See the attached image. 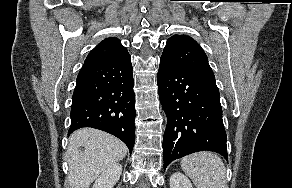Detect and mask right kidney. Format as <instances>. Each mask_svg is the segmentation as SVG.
<instances>
[{
  "mask_svg": "<svg viewBox=\"0 0 292 188\" xmlns=\"http://www.w3.org/2000/svg\"><path fill=\"white\" fill-rule=\"evenodd\" d=\"M122 173V165L115 163L105 169L96 179L92 188H113Z\"/></svg>",
  "mask_w": 292,
  "mask_h": 188,
  "instance_id": "1",
  "label": "right kidney"
}]
</instances>
